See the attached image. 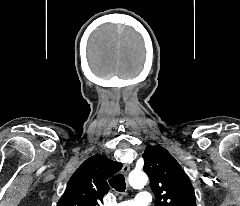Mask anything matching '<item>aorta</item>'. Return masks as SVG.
I'll use <instances>...</instances> for the list:
<instances>
[{
    "label": "aorta",
    "mask_w": 240,
    "mask_h": 206,
    "mask_svg": "<svg viewBox=\"0 0 240 206\" xmlns=\"http://www.w3.org/2000/svg\"><path fill=\"white\" fill-rule=\"evenodd\" d=\"M128 181L131 187L141 188L148 182V177L142 171H132L129 174Z\"/></svg>",
    "instance_id": "762f6f07"
}]
</instances>
